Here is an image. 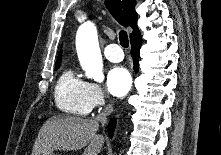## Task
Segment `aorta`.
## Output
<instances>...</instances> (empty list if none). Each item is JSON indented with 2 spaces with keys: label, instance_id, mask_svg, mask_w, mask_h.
Masks as SVG:
<instances>
[{
  "label": "aorta",
  "instance_id": "obj_1",
  "mask_svg": "<svg viewBox=\"0 0 221 155\" xmlns=\"http://www.w3.org/2000/svg\"><path fill=\"white\" fill-rule=\"evenodd\" d=\"M76 49L85 75L97 82H102L104 80L103 62L97 29L92 22H86L79 27L76 34Z\"/></svg>",
  "mask_w": 221,
  "mask_h": 155
}]
</instances>
